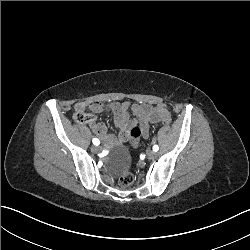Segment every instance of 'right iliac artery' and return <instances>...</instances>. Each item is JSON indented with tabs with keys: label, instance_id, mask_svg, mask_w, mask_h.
I'll use <instances>...</instances> for the list:
<instances>
[{
	"label": "right iliac artery",
	"instance_id": "82829eb1",
	"mask_svg": "<svg viewBox=\"0 0 250 250\" xmlns=\"http://www.w3.org/2000/svg\"><path fill=\"white\" fill-rule=\"evenodd\" d=\"M92 142L96 146H98L100 144V141L97 138H94Z\"/></svg>",
	"mask_w": 250,
	"mask_h": 250
}]
</instances>
